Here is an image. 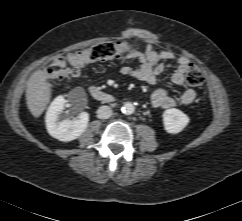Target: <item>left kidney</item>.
<instances>
[{
  "label": "left kidney",
  "instance_id": "5707ae66",
  "mask_svg": "<svg viewBox=\"0 0 242 221\" xmlns=\"http://www.w3.org/2000/svg\"><path fill=\"white\" fill-rule=\"evenodd\" d=\"M162 116L164 129L170 134L181 132L190 121L185 113L176 108L165 110Z\"/></svg>",
  "mask_w": 242,
  "mask_h": 221
}]
</instances>
